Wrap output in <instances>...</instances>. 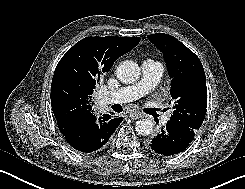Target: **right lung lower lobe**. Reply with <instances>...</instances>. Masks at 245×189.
Instances as JSON below:
<instances>
[{"label":"right lung lower lobe","instance_id":"1","mask_svg":"<svg viewBox=\"0 0 245 189\" xmlns=\"http://www.w3.org/2000/svg\"><path fill=\"white\" fill-rule=\"evenodd\" d=\"M122 120V117L111 118L108 114L102 117L93 114L90 122L63 135L77 151L94 152L105 146Z\"/></svg>","mask_w":245,"mask_h":189}]
</instances>
